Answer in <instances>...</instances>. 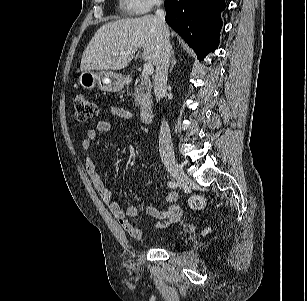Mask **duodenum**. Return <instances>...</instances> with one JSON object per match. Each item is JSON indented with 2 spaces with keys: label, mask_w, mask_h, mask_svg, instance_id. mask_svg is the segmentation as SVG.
Returning <instances> with one entry per match:
<instances>
[{
  "label": "duodenum",
  "mask_w": 307,
  "mask_h": 301,
  "mask_svg": "<svg viewBox=\"0 0 307 301\" xmlns=\"http://www.w3.org/2000/svg\"><path fill=\"white\" fill-rule=\"evenodd\" d=\"M153 114V105L150 102H142L139 107L140 119L144 123H149Z\"/></svg>",
  "instance_id": "410a0bca"
}]
</instances>
